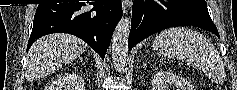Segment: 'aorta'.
<instances>
[{"label": "aorta", "mask_w": 237, "mask_h": 90, "mask_svg": "<svg viewBox=\"0 0 237 90\" xmlns=\"http://www.w3.org/2000/svg\"><path fill=\"white\" fill-rule=\"evenodd\" d=\"M130 30V16H122L113 32L111 40V58L117 72H124L125 66H127Z\"/></svg>", "instance_id": "762f6f07"}]
</instances>
